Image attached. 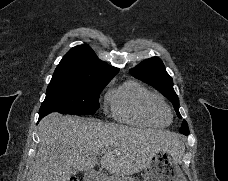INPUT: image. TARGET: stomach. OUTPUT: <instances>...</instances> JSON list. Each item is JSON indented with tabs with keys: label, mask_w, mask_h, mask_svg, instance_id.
Masks as SVG:
<instances>
[{
	"label": "stomach",
	"mask_w": 228,
	"mask_h": 181,
	"mask_svg": "<svg viewBox=\"0 0 228 181\" xmlns=\"http://www.w3.org/2000/svg\"><path fill=\"white\" fill-rule=\"evenodd\" d=\"M144 181H187L172 151H158L144 169Z\"/></svg>",
	"instance_id": "0dacf381"
}]
</instances>
